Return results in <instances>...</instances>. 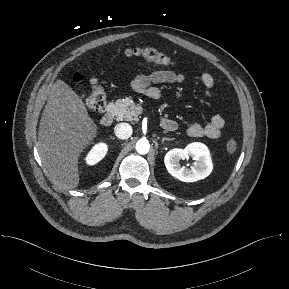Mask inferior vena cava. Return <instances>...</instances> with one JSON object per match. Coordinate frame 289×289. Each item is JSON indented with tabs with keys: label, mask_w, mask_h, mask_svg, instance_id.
Here are the masks:
<instances>
[{
	"label": "inferior vena cava",
	"mask_w": 289,
	"mask_h": 289,
	"mask_svg": "<svg viewBox=\"0 0 289 289\" xmlns=\"http://www.w3.org/2000/svg\"><path fill=\"white\" fill-rule=\"evenodd\" d=\"M114 132L119 139H128L132 135V127L128 123H119Z\"/></svg>",
	"instance_id": "602c4592"
}]
</instances>
